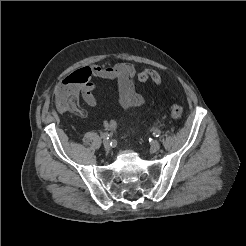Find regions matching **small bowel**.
<instances>
[{"label": "small bowel", "instance_id": "1", "mask_svg": "<svg viewBox=\"0 0 246 246\" xmlns=\"http://www.w3.org/2000/svg\"><path fill=\"white\" fill-rule=\"evenodd\" d=\"M136 73V68L128 62L117 63L113 66L91 65L84 66L66 76L55 91V101L57 110L60 113L68 111L79 116H85V111L79 105V98L94 107L97 104L94 95L95 84L92 78L107 79L116 82L118 90V100L122 108L126 111L141 107L144 104L142 95L134 90L132 78ZM107 131L116 128V120H105L103 123Z\"/></svg>", "mask_w": 246, "mask_h": 246}]
</instances>
